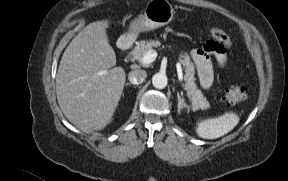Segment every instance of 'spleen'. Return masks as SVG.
Returning a JSON list of instances; mask_svg holds the SVG:
<instances>
[{
    "instance_id": "spleen-1",
    "label": "spleen",
    "mask_w": 288,
    "mask_h": 181,
    "mask_svg": "<svg viewBox=\"0 0 288 181\" xmlns=\"http://www.w3.org/2000/svg\"><path fill=\"white\" fill-rule=\"evenodd\" d=\"M238 122V115L233 112H227L220 117L198 122L196 132L201 138L216 139L233 130Z\"/></svg>"
}]
</instances>
